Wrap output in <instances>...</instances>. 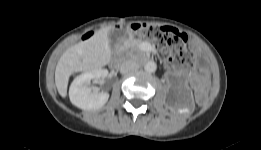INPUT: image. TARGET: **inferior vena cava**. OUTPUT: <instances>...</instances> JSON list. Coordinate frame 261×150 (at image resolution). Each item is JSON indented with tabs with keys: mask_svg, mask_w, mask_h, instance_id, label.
I'll list each match as a JSON object with an SVG mask.
<instances>
[{
	"mask_svg": "<svg viewBox=\"0 0 261 150\" xmlns=\"http://www.w3.org/2000/svg\"><path fill=\"white\" fill-rule=\"evenodd\" d=\"M138 68V64L131 61V60H127L122 62V64L120 65V72L122 74H126L129 73L133 70H136Z\"/></svg>",
	"mask_w": 261,
	"mask_h": 150,
	"instance_id": "obj_1",
	"label": "inferior vena cava"
}]
</instances>
